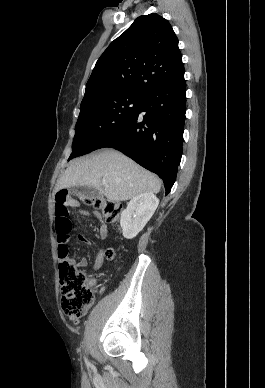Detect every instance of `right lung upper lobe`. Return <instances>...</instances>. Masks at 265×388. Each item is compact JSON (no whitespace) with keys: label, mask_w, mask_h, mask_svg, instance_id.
Masks as SVG:
<instances>
[{"label":"right lung upper lobe","mask_w":265,"mask_h":388,"mask_svg":"<svg viewBox=\"0 0 265 388\" xmlns=\"http://www.w3.org/2000/svg\"><path fill=\"white\" fill-rule=\"evenodd\" d=\"M184 76L178 39L158 14L138 17L96 62L84 97L101 91L144 95L153 87Z\"/></svg>","instance_id":"cb5924a9"}]
</instances>
